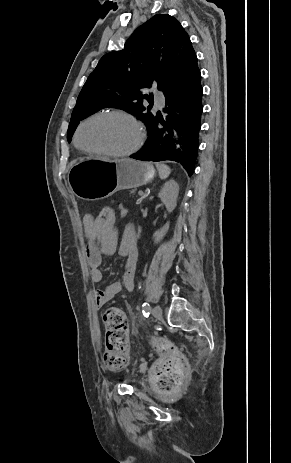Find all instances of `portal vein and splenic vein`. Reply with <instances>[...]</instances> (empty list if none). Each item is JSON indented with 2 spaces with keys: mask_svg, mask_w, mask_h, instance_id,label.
I'll list each match as a JSON object with an SVG mask.
<instances>
[{
  "mask_svg": "<svg viewBox=\"0 0 291 463\" xmlns=\"http://www.w3.org/2000/svg\"><path fill=\"white\" fill-rule=\"evenodd\" d=\"M138 194H139L140 196H143V192H142V191H139Z\"/></svg>",
  "mask_w": 291,
  "mask_h": 463,
  "instance_id": "portal-vein-and-splenic-vein-1",
  "label": "portal vein and splenic vein"
}]
</instances>
